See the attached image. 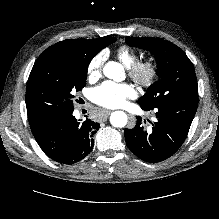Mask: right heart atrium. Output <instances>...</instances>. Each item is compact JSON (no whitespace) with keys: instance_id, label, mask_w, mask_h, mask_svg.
<instances>
[{"instance_id":"right-heart-atrium-1","label":"right heart atrium","mask_w":219,"mask_h":219,"mask_svg":"<svg viewBox=\"0 0 219 219\" xmlns=\"http://www.w3.org/2000/svg\"><path fill=\"white\" fill-rule=\"evenodd\" d=\"M104 64V55H96L88 65V78L90 80L98 79L101 76L102 68Z\"/></svg>"}]
</instances>
